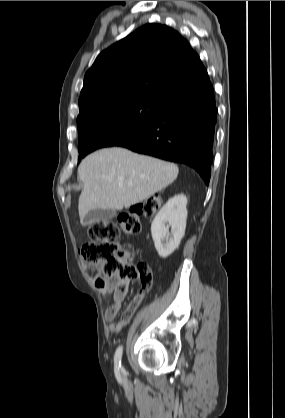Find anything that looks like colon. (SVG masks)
<instances>
[{
  "label": "colon",
  "mask_w": 285,
  "mask_h": 418,
  "mask_svg": "<svg viewBox=\"0 0 285 418\" xmlns=\"http://www.w3.org/2000/svg\"><path fill=\"white\" fill-rule=\"evenodd\" d=\"M158 206L156 198H149L118 216V225L113 222H100L89 226L87 238L81 247L82 260L89 265H100V272L94 279V285L100 289L108 287L109 280L133 278L139 276V267L127 261L118 240L119 233L132 236L141 229L140 218L152 216ZM148 288L141 286L134 301L140 303L147 295Z\"/></svg>",
  "instance_id": "colon-1"
}]
</instances>
